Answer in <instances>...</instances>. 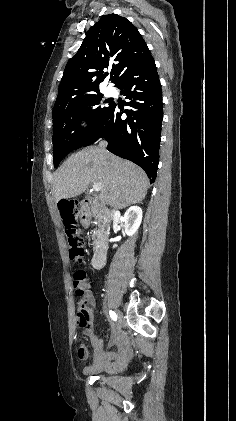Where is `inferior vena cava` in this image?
Instances as JSON below:
<instances>
[{"label": "inferior vena cava", "instance_id": "602c4592", "mask_svg": "<svg viewBox=\"0 0 236 421\" xmlns=\"http://www.w3.org/2000/svg\"><path fill=\"white\" fill-rule=\"evenodd\" d=\"M107 144H108V142H106V140H101V142H99V146H100L101 150H103V152H107V150H106Z\"/></svg>", "mask_w": 236, "mask_h": 421}]
</instances>
